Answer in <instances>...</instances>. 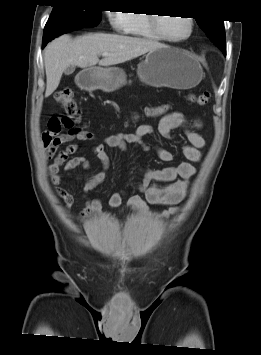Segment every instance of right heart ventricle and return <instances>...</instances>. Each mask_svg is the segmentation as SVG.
<instances>
[{
  "instance_id": "e07e8e85",
  "label": "right heart ventricle",
  "mask_w": 261,
  "mask_h": 355,
  "mask_svg": "<svg viewBox=\"0 0 261 355\" xmlns=\"http://www.w3.org/2000/svg\"><path fill=\"white\" fill-rule=\"evenodd\" d=\"M150 13L135 11L129 14V27L126 33L140 38L158 40L150 24Z\"/></svg>"
}]
</instances>
